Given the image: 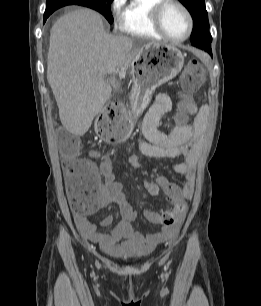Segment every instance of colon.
<instances>
[{
  "mask_svg": "<svg viewBox=\"0 0 261 306\" xmlns=\"http://www.w3.org/2000/svg\"><path fill=\"white\" fill-rule=\"evenodd\" d=\"M205 78L204 66L197 60H190L181 77V86L186 93H192L197 90ZM122 110L120 104H114L107 107L106 112L117 113ZM102 134L113 141L121 142L130 135L128 125L119 121L114 124H104L101 126ZM60 150L66 156V159L76 157L79 150V141L72 135L63 134L59 140ZM98 178L95 168L90 163L75 165L70 168L66 177V186L70 197L72 208L76 212H87L92 209L94 197L96 194V184ZM183 204L178 205L176 213H184ZM159 222L165 226L175 223V213L164 212L160 216Z\"/></svg>",
  "mask_w": 261,
  "mask_h": 306,
  "instance_id": "5ec220e1",
  "label": "colon"
}]
</instances>
